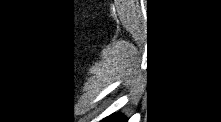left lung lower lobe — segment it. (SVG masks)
<instances>
[{
	"mask_svg": "<svg viewBox=\"0 0 221 122\" xmlns=\"http://www.w3.org/2000/svg\"><path fill=\"white\" fill-rule=\"evenodd\" d=\"M103 120L106 122H127V119L121 114H112Z\"/></svg>",
	"mask_w": 221,
	"mask_h": 122,
	"instance_id": "0a47b994",
	"label": "left lung lower lobe"
}]
</instances>
